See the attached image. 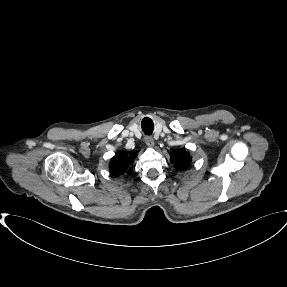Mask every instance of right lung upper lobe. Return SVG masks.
I'll return each instance as SVG.
<instances>
[{
    "label": "right lung upper lobe",
    "mask_w": 287,
    "mask_h": 287,
    "mask_svg": "<svg viewBox=\"0 0 287 287\" xmlns=\"http://www.w3.org/2000/svg\"><path fill=\"white\" fill-rule=\"evenodd\" d=\"M136 153L132 152L128 155L123 151L118 152L110 161L109 169L113 175H119L124 173H131V163L135 159Z\"/></svg>",
    "instance_id": "right-lung-upper-lobe-1"
}]
</instances>
